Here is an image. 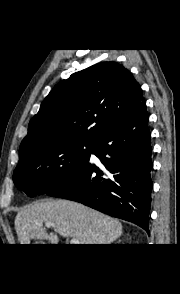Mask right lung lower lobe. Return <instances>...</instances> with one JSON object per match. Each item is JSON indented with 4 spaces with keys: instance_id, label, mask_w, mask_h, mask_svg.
Instances as JSON below:
<instances>
[{
    "instance_id": "1",
    "label": "right lung lower lobe",
    "mask_w": 180,
    "mask_h": 294,
    "mask_svg": "<svg viewBox=\"0 0 180 294\" xmlns=\"http://www.w3.org/2000/svg\"><path fill=\"white\" fill-rule=\"evenodd\" d=\"M147 124L143 101L95 138L91 153L100 164L88 160L69 180L47 194L133 222L149 233L152 148Z\"/></svg>"
}]
</instances>
